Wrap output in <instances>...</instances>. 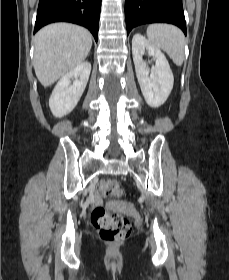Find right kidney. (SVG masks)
<instances>
[{"mask_svg": "<svg viewBox=\"0 0 229 280\" xmlns=\"http://www.w3.org/2000/svg\"><path fill=\"white\" fill-rule=\"evenodd\" d=\"M90 72L91 64L85 61L58 81L49 99V107L55 117H63L76 107L85 90Z\"/></svg>", "mask_w": 229, "mask_h": 280, "instance_id": "obj_1", "label": "right kidney"}]
</instances>
